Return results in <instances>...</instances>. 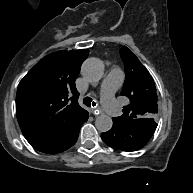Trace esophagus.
<instances>
[{
  "label": "esophagus",
  "mask_w": 193,
  "mask_h": 193,
  "mask_svg": "<svg viewBox=\"0 0 193 193\" xmlns=\"http://www.w3.org/2000/svg\"><path fill=\"white\" fill-rule=\"evenodd\" d=\"M92 113L97 116V115H99V114L101 113V111H100L99 108H97V109H92Z\"/></svg>",
  "instance_id": "34e87169"
}]
</instances>
